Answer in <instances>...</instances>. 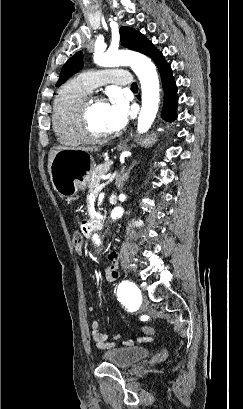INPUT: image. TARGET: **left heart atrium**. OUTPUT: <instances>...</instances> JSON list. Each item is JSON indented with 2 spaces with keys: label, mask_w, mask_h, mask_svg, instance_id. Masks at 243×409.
Segmentation results:
<instances>
[{
  "label": "left heart atrium",
  "mask_w": 243,
  "mask_h": 409,
  "mask_svg": "<svg viewBox=\"0 0 243 409\" xmlns=\"http://www.w3.org/2000/svg\"><path fill=\"white\" fill-rule=\"evenodd\" d=\"M128 120V108L126 102L115 96L110 103L106 105V125L108 133L121 130Z\"/></svg>",
  "instance_id": "obj_1"
}]
</instances>
